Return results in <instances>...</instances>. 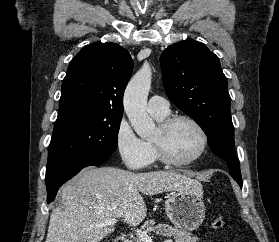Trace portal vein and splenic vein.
Here are the masks:
<instances>
[{
  "mask_svg": "<svg viewBox=\"0 0 279 242\" xmlns=\"http://www.w3.org/2000/svg\"><path fill=\"white\" fill-rule=\"evenodd\" d=\"M117 222H118L117 219L112 218V219H109V220L105 221L103 224L98 225V226L100 227V226L115 225ZM135 231H136L137 237L140 238L143 242H153L152 238L147 234L146 231H142L141 229H136ZM165 242H172V241L167 240Z\"/></svg>",
  "mask_w": 279,
  "mask_h": 242,
  "instance_id": "portal-vein-and-splenic-vein-1",
  "label": "portal vein and splenic vein"
}]
</instances>
